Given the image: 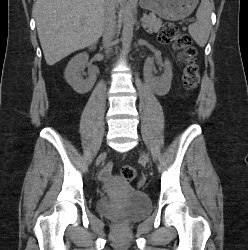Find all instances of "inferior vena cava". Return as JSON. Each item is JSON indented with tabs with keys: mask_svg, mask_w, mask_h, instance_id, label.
<instances>
[{
	"mask_svg": "<svg viewBox=\"0 0 248 250\" xmlns=\"http://www.w3.org/2000/svg\"><path fill=\"white\" fill-rule=\"evenodd\" d=\"M115 1L108 0L104 13L103 44L109 49L116 30Z\"/></svg>",
	"mask_w": 248,
	"mask_h": 250,
	"instance_id": "1",
	"label": "inferior vena cava"
}]
</instances>
